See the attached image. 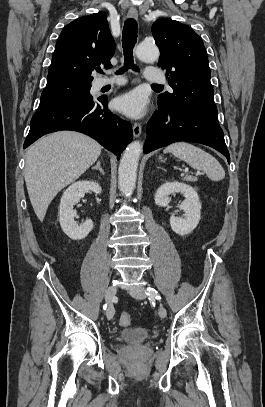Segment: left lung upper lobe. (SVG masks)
<instances>
[{
  "instance_id": "1",
  "label": "left lung upper lobe",
  "mask_w": 265,
  "mask_h": 407,
  "mask_svg": "<svg viewBox=\"0 0 265 407\" xmlns=\"http://www.w3.org/2000/svg\"><path fill=\"white\" fill-rule=\"evenodd\" d=\"M152 34L160 49L158 66L166 70L173 89V93L159 95L158 108L191 112L218 124L208 56L201 37L190 26L169 18L155 21Z\"/></svg>"
}]
</instances>
